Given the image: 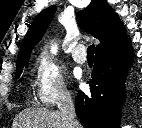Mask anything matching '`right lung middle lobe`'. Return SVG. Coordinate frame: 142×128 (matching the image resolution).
Instances as JSON below:
<instances>
[{
  "label": "right lung middle lobe",
  "mask_w": 142,
  "mask_h": 128,
  "mask_svg": "<svg viewBox=\"0 0 142 128\" xmlns=\"http://www.w3.org/2000/svg\"><path fill=\"white\" fill-rule=\"evenodd\" d=\"M28 65V60L17 63L16 76L19 77L23 71V67Z\"/></svg>",
  "instance_id": "1"
}]
</instances>
